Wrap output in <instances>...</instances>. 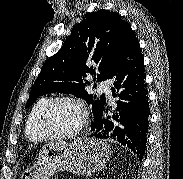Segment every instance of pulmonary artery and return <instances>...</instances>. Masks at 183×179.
<instances>
[{
	"mask_svg": "<svg viewBox=\"0 0 183 179\" xmlns=\"http://www.w3.org/2000/svg\"><path fill=\"white\" fill-rule=\"evenodd\" d=\"M99 89L106 94L108 99L112 100V92H111L108 82H106V81L101 82L99 84Z\"/></svg>",
	"mask_w": 183,
	"mask_h": 179,
	"instance_id": "1",
	"label": "pulmonary artery"
}]
</instances>
